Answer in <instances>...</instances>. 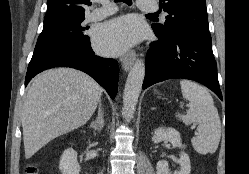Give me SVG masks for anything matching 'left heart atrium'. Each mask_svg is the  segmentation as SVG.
Here are the masks:
<instances>
[{
  "label": "left heart atrium",
  "mask_w": 249,
  "mask_h": 174,
  "mask_svg": "<svg viewBox=\"0 0 249 174\" xmlns=\"http://www.w3.org/2000/svg\"><path fill=\"white\" fill-rule=\"evenodd\" d=\"M143 37V25L133 16L116 18L104 24L96 33V49L109 56L125 52Z\"/></svg>",
  "instance_id": "39dd6f15"
}]
</instances>
